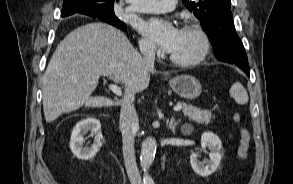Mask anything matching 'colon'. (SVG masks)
I'll return each mask as SVG.
<instances>
[{
  "label": "colon",
  "mask_w": 293,
  "mask_h": 184,
  "mask_svg": "<svg viewBox=\"0 0 293 184\" xmlns=\"http://www.w3.org/2000/svg\"><path fill=\"white\" fill-rule=\"evenodd\" d=\"M233 121L239 125L241 122V115L238 113H235L233 115ZM239 134H240V140H239V146H238V155L242 159H246L249 155V147H250V133L249 131L244 127H239Z\"/></svg>",
  "instance_id": "obj_1"
}]
</instances>
